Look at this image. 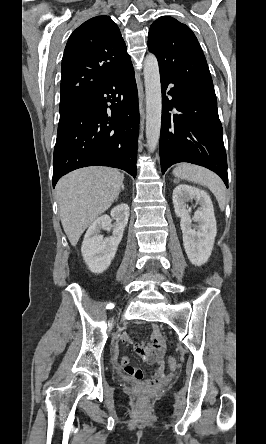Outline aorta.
Returning a JSON list of instances; mask_svg holds the SVG:
<instances>
[{"mask_svg": "<svg viewBox=\"0 0 266 444\" xmlns=\"http://www.w3.org/2000/svg\"><path fill=\"white\" fill-rule=\"evenodd\" d=\"M144 80L147 147L150 152H153L160 137L162 95L158 61L155 55L151 53L144 60Z\"/></svg>", "mask_w": 266, "mask_h": 444, "instance_id": "1", "label": "aorta"}]
</instances>
